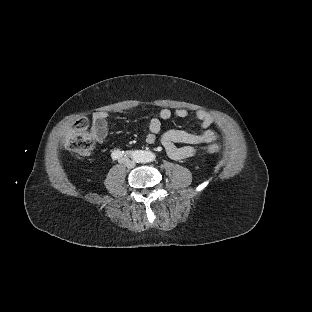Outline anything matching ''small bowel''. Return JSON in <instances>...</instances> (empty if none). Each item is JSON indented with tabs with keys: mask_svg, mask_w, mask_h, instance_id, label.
I'll return each mask as SVG.
<instances>
[{
	"mask_svg": "<svg viewBox=\"0 0 312 312\" xmlns=\"http://www.w3.org/2000/svg\"><path fill=\"white\" fill-rule=\"evenodd\" d=\"M171 109L161 108L157 115L150 119L148 123V132L145 136V142L148 145L155 144L160 140L166 154L173 160H182L193 156L194 146L209 144L217 139L215 131L210 129L214 123V117L204 110H197L195 116L200 123L203 131L201 133H190L184 130H168L161 134L162 121L168 120L172 116ZM174 114L181 119L189 116L186 108L179 107L174 110ZM109 112H96L91 120V134L97 142H102L107 135V118ZM182 144V146H178Z\"/></svg>",
	"mask_w": 312,
	"mask_h": 312,
	"instance_id": "c3829d8e",
	"label": "small bowel"
}]
</instances>
